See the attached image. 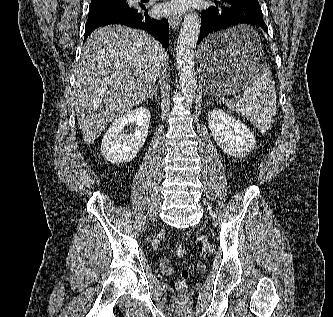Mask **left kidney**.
<instances>
[{"label":"left kidney","instance_id":"5707ae66","mask_svg":"<svg viewBox=\"0 0 333 317\" xmlns=\"http://www.w3.org/2000/svg\"><path fill=\"white\" fill-rule=\"evenodd\" d=\"M208 123L216 143L226 154L245 157L255 147V138L249 128L226 111L209 112Z\"/></svg>","mask_w":333,"mask_h":317}]
</instances>
